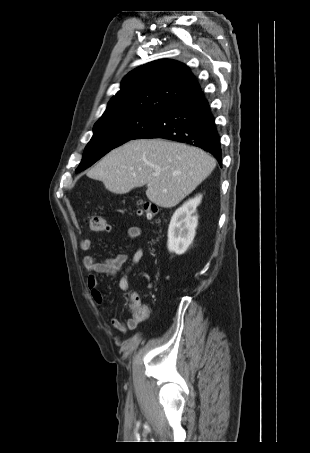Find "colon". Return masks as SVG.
<instances>
[{"label": "colon", "mask_w": 310, "mask_h": 453, "mask_svg": "<svg viewBox=\"0 0 310 453\" xmlns=\"http://www.w3.org/2000/svg\"><path fill=\"white\" fill-rule=\"evenodd\" d=\"M158 212L159 209L156 204L148 201L139 202V215L144 216L149 220L158 221ZM89 227L92 232H104L109 229L106 217L101 214H94L91 216ZM130 310L137 318H146L149 315L148 307L144 305L138 297L131 298Z\"/></svg>", "instance_id": "1"}]
</instances>
